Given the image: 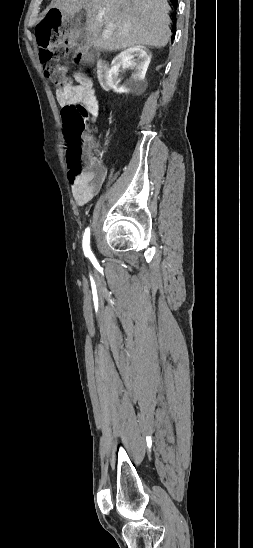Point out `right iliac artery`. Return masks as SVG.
Segmentation results:
<instances>
[{"mask_svg":"<svg viewBox=\"0 0 253 548\" xmlns=\"http://www.w3.org/2000/svg\"><path fill=\"white\" fill-rule=\"evenodd\" d=\"M90 229L89 227L85 230L84 236H83V250L86 257H89L91 260L94 259V256L90 250Z\"/></svg>","mask_w":253,"mask_h":548,"instance_id":"1","label":"right iliac artery"}]
</instances>
